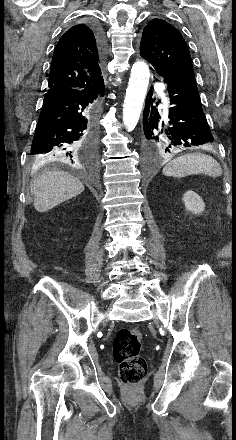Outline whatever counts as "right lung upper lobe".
<instances>
[{
	"label": "right lung upper lobe",
	"instance_id": "right-lung-upper-lobe-1",
	"mask_svg": "<svg viewBox=\"0 0 236 440\" xmlns=\"http://www.w3.org/2000/svg\"><path fill=\"white\" fill-rule=\"evenodd\" d=\"M103 62L92 27L83 23L71 27L55 47L47 91L83 89L99 83Z\"/></svg>",
	"mask_w": 236,
	"mask_h": 440
}]
</instances>
